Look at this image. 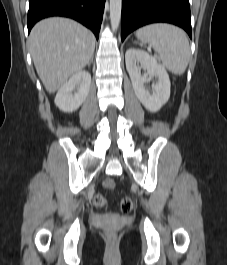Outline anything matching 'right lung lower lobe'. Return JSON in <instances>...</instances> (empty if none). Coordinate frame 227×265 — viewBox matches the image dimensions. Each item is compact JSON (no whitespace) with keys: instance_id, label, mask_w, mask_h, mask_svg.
<instances>
[{"instance_id":"obj_1","label":"right lung lower lobe","mask_w":227,"mask_h":265,"mask_svg":"<svg viewBox=\"0 0 227 265\" xmlns=\"http://www.w3.org/2000/svg\"><path fill=\"white\" fill-rule=\"evenodd\" d=\"M105 0H29L28 33L36 22L49 16L73 18L99 37Z\"/></svg>"}]
</instances>
